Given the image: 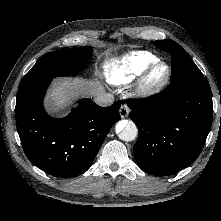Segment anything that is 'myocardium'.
Returning <instances> with one entry per match:
<instances>
[{
	"mask_svg": "<svg viewBox=\"0 0 221 221\" xmlns=\"http://www.w3.org/2000/svg\"><path fill=\"white\" fill-rule=\"evenodd\" d=\"M163 67L165 72L162 78L158 80L153 79L154 71ZM171 77L170 66L163 61H156L152 63L141 75L135 88V94L144 99H149L158 95L169 83Z\"/></svg>",
	"mask_w": 221,
	"mask_h": 221,
	"instance_id": "1",
	"label": "myocardium"
}]
</instances>
